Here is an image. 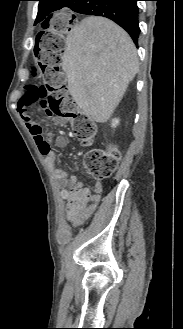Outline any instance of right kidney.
I'll return each mask as SVG.
<instances>
[{
	"label": "right kidney",
	"instance_id": "obj_1",
	"mask_svg": "<svg viewBox=\"0 0 183 329\" xmlns=\"http://www.w3.org/2000/svg\"><path fill=\"white\" fill-rule=\"evenodd\" d=\"M118 124H119V120L118 119H116V118L115 119H112V123H111V126L112 127L115 128Z\"/></svg>",
	"mask_w": 183,
	"mask_h": 329
}]
</instances>
